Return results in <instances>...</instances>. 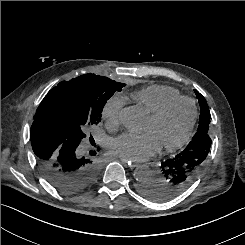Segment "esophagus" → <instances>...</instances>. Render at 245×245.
Returning a JSON list of instances; mask_svg holds the SVG:
<instances>
[{
	"label": "esophagus",
	"instance_id": "1",
	"mask_svg": "<svg viewBox=\"0 0 245 245\" xmlns=\"http://www.w3.org/2000/svg\"><path fill=\"white\" fill-rule=\"evenodd\" d=\"M121 162L125 164L126 167L130 168V169H134L135 167L138 166V163L132 161V160H128L125 158H120Z\"/></svg>",
	"mask_w": 245,
	"mask_h": 245
}]
</instances>
